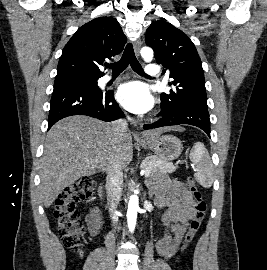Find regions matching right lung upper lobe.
I'll return each mask as SVG.
<instances>
[{
  "mask_svg": "<svg viewBox=\"0 0 267 270\" xmlns=\"http://www.w3.org/2000/svg\"><path fill=\"white\" fill-rule=\"evenodd\" d=\"M127 41L118 21L112 17L95 18L81 26L65 45L57 76L66 74L102 77L99 69L105 59L120 54Z\"/></svg>",
  "mask_w": 267,
  "mask_h": 270,
  "instance_id": "right-lung-upper-lobe-1",
  "label": "right lung upper lobe"
}]
</instances>
